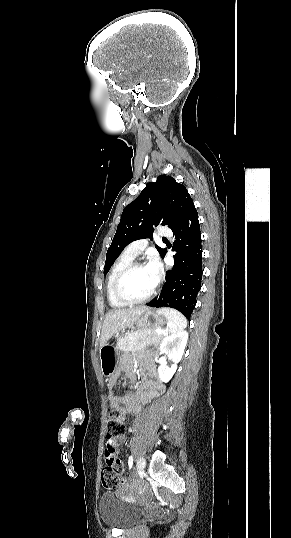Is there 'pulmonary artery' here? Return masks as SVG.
I'll use <instances>...</instances> for the list:
<instances>
[{
	"instance_id": "1",
	"label": "pulmonary artery",
	"mask_w": 291,
	"mask_h": 538,
	"mask_svg": "<svg viewBox=\"0 0 291 538\" xmlns=\"http://www.w3.org/2000/svg\"><path fill=\"white\" fill-rule=\"evenodd\" d=\"M158 235L162 238H168L172 236V232L168 228H161ZM147 245L148 241L146 239L136 240L126 247L125 252L135 258L144 251Z\"/></svg>"
}]
</instances>
